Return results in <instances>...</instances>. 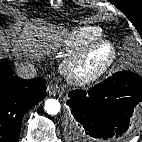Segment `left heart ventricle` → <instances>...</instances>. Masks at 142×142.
I'll list each match as a JSON object with an SVG mask.
<instances>
[{"label": "left heart ventricle", "instance_id": "b2bd125f", "mask_svg": "<svg viewBox=\"0 0 142 142\" xmlns=\"http://www.w3.org/2000/svg\"><path fill=\"white\" fill-rule=\"evenodd\" d=\"M102 55H96L93 57L87 64L86 68L91 69L99 64L101 61Z\"/></svg>", "mask_w": 142, "mask_h": 142}]
</instances>
